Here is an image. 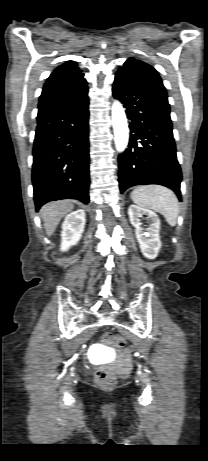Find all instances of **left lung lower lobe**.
I'll return each mask as SVG.
<instances>
[{"label": "left lung lower lobe", "mask_w": 208, "mask_h": 461, "mask_svg": "<svg viewBox=\"0 0 208 461\" xmlns=\"http://www.w3.org/2000/svg\"><path fill=\"white\" fill-rule=\"evenodd\" d=\"M112 92L126 108L131 131L128 148L118 157L120 192L135 185L159 184L181 200L182 173L165 89L117 72Z\"/></svg>", "instance_id": "1"}]
</instances>
